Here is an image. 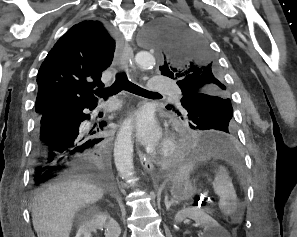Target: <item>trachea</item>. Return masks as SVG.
<instances>
[{
	"label": "trachea",
	"mask_w": 297,
	"mask_h": 237,
	"mask_svg": "<svg viewBox=\"0 0 297 237\" xmlns=\"http://www.w3.org/2000/svg\"><path fill=\"white\" fill-rule=\"evenodd\" d=\"M122 90H126L136 95L140 96H149V95H157V92H151L146 89L139 87L138 85L129 81L125 72H120L116 74L115 82L107 88H99L94 93L102 97L103 99H107L109 96L116 95Z\"/></svg>",
	"instance_id": "obj_1"
}]
</instances>
